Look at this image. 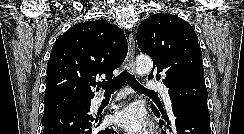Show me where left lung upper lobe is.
I'll use <instances>...</instances> for the list:
<instances>
[{
	"label": "left lung upper lobe",
	"instance_id": "1",
	"mask_svg": "<svg viewBox=\"0 0 244 134\" xmlns=\"http://www.w3.org/2000/svg\"><path fill=\"white\" fill-rule=\"evenodd\" d=\"M136 38L139 50L153 60L148 78L165 75L171 102L207 108L202 52L189 23L175 15L154 14L139 25Z\"/></svg>",
	"mask_w": 244,
	"mask_h": 134
}]
</instances>
